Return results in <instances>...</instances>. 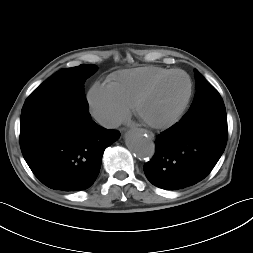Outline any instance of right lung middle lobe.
<instances>
[{
    "instance_id": "obj_1",
    "label": "right lung middle lobe",
    "mask_w": 253,
    "mask_h": 253,
    "mask_svg": "<svg viewBox=\"0 0 253 253\" xmlns=\"http://www.w3.org/2000/svg\"><path fill=\"white\" fill-rule=\"evenodd\" d=\"M97 70L93 64L64 68L53 74L26 99L21 119L63 104L74 103L88 109L84 81Z\"/></svg>"
}]
</instances>
